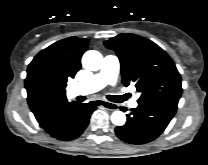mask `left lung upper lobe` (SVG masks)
I'll return each mask as SVG.
<instances>
[{
  "label": "left lung upper lobe",
  "instance_id": "5c2ea615",
  "mask_svg": "<svg viewBox=\"0 0 208 165\" xmlns=\"http://www.w3.org/2000/svg\"><path fill=\"white\" fill-rule=\"evenodd\" d=\"M104 44L117 53L123 84L134 83L141 93L138 104H178L182 93L181 77L163 49L149 39L131 33L120 34Z\"/></svg>",
  "mask_w": 208,
  "mask_h": 165
}]
</instances>
